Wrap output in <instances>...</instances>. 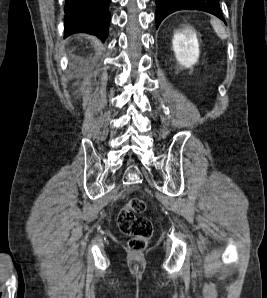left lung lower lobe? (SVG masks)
<instances>
[{
    "label": "left lung lower lobe",
    "instance_id": "1",
    "mask_svg": "<svg viewBox=\"0 0 267 298\" xmlns=\"http://www.w3.org/2000/svg\"><path fill=\"white\" fill-rule=\"evenodd\" d=\"M183 9L205 11L225 22L219 6V0H156V28L159 27V24L166 16Z\"/></svg>",
    "mask_w": 267,
    "mask_h": 298
}]
</instances>
